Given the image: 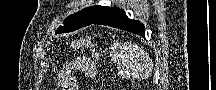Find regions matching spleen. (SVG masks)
I'll return each instance as SVG.
<instances>
[{
    "label": "spleen",
    "instance_id": "3e777b00",
    "mask_svg": "<svg viewBox=\"0 0 216 90\" xmlns=\"http://www.w3.org/2000/svg\"><path fill=\"white\" fill-rule=\"evenodd\" d=\"M123 54H125L131 72L136 74H143L147 68V62L149 60L146 52L143 48H139L137 44H131V42H124L122 44Z\"/></svg>",
    "mask_w": 216,
    "mask_h": 90
}]
</instances>
